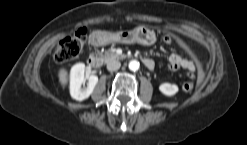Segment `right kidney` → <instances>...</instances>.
Listing matches in <instances>:
<instances>
[{"label": "right kidney", "instance_id": "obj_1", "mask_svg": "<svg viewBox=\"0 0 247 145\" xmlns=\"http://www.w3.org/2000/svg\"><path fill=\"white\" fill-rule=\"evenodd\" d=\"M88 80L87 87L82 88V85ZM98 83V77L89 75L85 77V64L77 63L71 68L70 74V94L77 101L87 99Z\"/></svg>", "mask_w": 247, "mask_h": 145}]
</instances>
